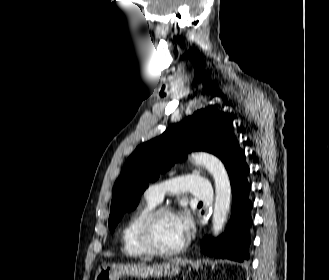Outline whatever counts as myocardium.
Segmentation results:
<instances>
[{
	"instance_id": "1",
	"label": "myocardium",
	"mask_w": 329,
	"mask_h": 280,
	"mask_svg": "<svg viewBox=\"0 0 329 280\" xmlns=\"http://www.w3.org/2000/svg\"><path fill=\"white\" fill-rule=\"evenodd\" d=\"M173 214V210L168 206H157L150 210L142 219L138 227V240L144 250L152 255L171 256L180 253L186 246V240H183L174 248H161L154 239V225L156 220L162 214Z\"/></svg>"
}]
</instances>
